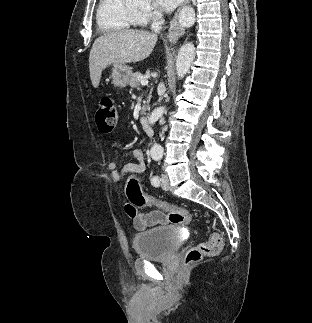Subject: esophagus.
<instances>
[{
    "label": "esophagus",
    "mask_w": 312,
    "mask_h": 323,
    "mask_svg": "<svg viewBox=\"0 0 312 323\" xmlns=\"http://www.w3.org/2000/svg\"><path fill=\"white\" fill-rule=\"evenodd\" d=\"M191 0H183L182 5L178 8L175 12L173 19L170 22V30L168 33V40L171 44H176L179 38L184 35L185 29L179 25L178 23V16L182 7L190 3Z\"/></svg>",
    "instance_id": "1"
}]
</instances>
